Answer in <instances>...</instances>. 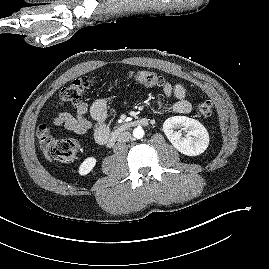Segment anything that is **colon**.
I'll use <instances>...</instances> for the list:
<instances>
[{
	"label": "colon",
	"mask_w": 269,
	"mask_h": 269,
	"mask_svg": "<svg viewBox=\"0 0 269 269\" xmlns=\"http://www.w3.org/2000/svg\"><path fill=\"white\" fill-rule=\"evenodd\" d=\"M129 79H133L149 87L165 86L167 82L159 74L147 71H130L127 73ZM94 80L90 77H80L73 80L60 91L59 100L61 104H78L86 92L93 86ZM197 113L204 118L211 116L213 105L211 101H203L197 105ZM38 138L43 147L50 155L63 162L71 161L78 151V143L70 138H58L47 125L38 129Z\"/></svg>",
	"instance_id": "5ec220e1"
}]
</instances>
